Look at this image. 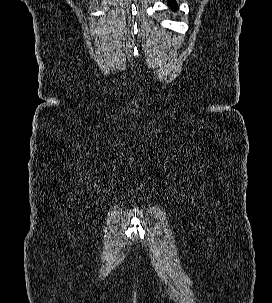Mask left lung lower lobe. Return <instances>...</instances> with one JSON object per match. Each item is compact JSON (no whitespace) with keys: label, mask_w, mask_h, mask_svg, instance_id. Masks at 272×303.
I'll use <instances>...</instances> for the list:
<instances>
[{"label":"left lung lower lobe","mask_w":272,"mask_h":303,"mask_svg":"<svg viewBox=\"0 0 272 303\" xmlns=\"http://www.w3.org/2000/svg\"><path fill=\"white\" fill-rule=\"evenodd\" d=\"M168 5L172 8V9H176L177 8V4L174 0H169Z\"/></svg>","instance_id":"obj_1"}]
</instances>
